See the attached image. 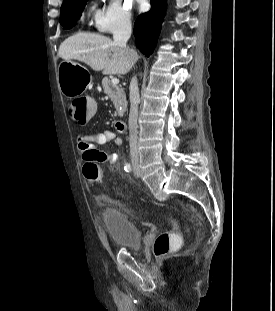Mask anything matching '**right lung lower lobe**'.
Returning <instances> with one entry per match:
<instances>
[{
	"label": "right lung lower lobe",
	"mask_w": 275,
	"mask_h": 311,
	"mask_svg": "<svg viewBox=\"0 0 275 311\" xmlns=\"http://www.w3.org/2000/svg\"><path fill=\"white\" fill-rule=\"evenodd\" d=\"M150 1L151 10L140 15L134 25L136 45L146 56L151 55L156 46L166 10V0Z\"/></svg>",
	"instance_id": "1"
}]
</instances>
